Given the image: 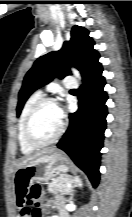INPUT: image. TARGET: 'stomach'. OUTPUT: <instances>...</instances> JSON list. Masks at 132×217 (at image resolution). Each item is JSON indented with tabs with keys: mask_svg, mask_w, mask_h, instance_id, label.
I'll return each mask as SVG.
<instances>
[{
	"mask_svg": "<svg viewBox=\"0 0 132 217\" xmlns=\"http://www.w3.org/2000/svg\"><path fill=\"white\" fill-rule=\"evenodd\" d=\"M71 169L68 156L62 151L42 155L17 168L13 176L15 188L29 187L35 181H48Z\"/></svg>",
	"mask_w": 132,
	"mask_h": 217,
	"instance_id": "stomach-1",
	"label": "stomach"
}]
</instances>
